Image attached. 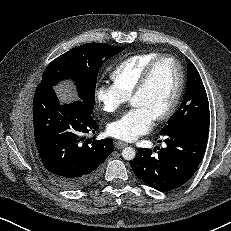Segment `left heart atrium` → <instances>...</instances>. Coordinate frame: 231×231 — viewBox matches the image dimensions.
<instances>
[{"mask_svg":"<svg viewBox=\"0 0 231 231\" xmlns=\"http://www.w3.org/2000/svg\"><path fill=\"white\" fill-rule=\"evenodd\" d=\"M155 117L144 107H134L107 125L110 136L131 142L151 130Z\"/></svg>","mask_w":231,"mask_h":231,"instance_id":"obj_1","label":"left heart atrium"}]
</instances>
